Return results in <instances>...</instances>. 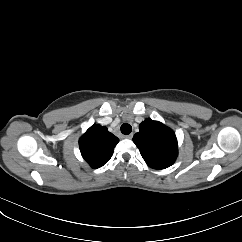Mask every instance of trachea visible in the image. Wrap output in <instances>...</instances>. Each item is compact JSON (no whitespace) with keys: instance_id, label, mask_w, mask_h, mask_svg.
Segmentation results:
<instances>
[{"instance_id":"trachea-1","label":"trachea","mask_w":242,"mask_h":242,"mask_svg":"<svg viewBox=\"0 0 242 242\" xmlns=\"http://www.w3.org/2000/svg\"><path fill=\"white\" fill-rule=\"evenodd\" d=\"M132 131V127L131 125L127 124V123H124L122 124L121 126V132L124 134V135H128L130 134Z\"/></svg>"}]
</instances>
